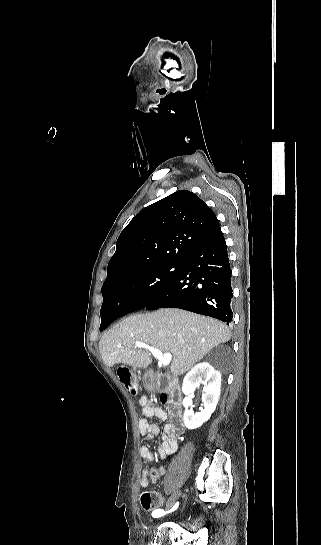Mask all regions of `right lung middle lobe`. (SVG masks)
I'll list each match as a JSON object with an SVG mask.
<instances>
[{
	"label": "right lung middle lobe",
	"mask_w": 321,
	"mask_h": 545,
	"mask_svg": "<svg viewBox=\"0 0 321 545\" xmlns=\"http://www.w3.org/2000/svg\"><path fill=\"white\" fill-rule=\"evenodd\" d=\"M175 268V269H174ZM181 265L163 264L125 276L117 285L103 288V304L111 298H127L147 305L177 276ZM105 325L101 318L100 331Z\"/></svg>",
	"instance_id": "1"
}]
</instances>
